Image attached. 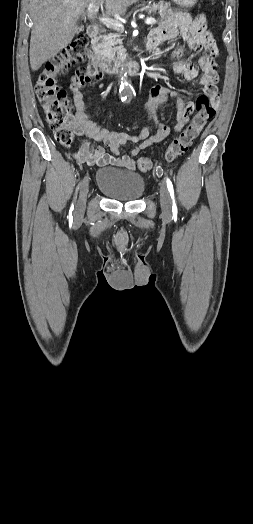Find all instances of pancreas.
Wrapping results in <instances>:
<instances>
[{
	"label": "pancreas",
	"mask_w": 253,
	"mask_h": 524,
	"mask_svg": "<svg viewBox=\"0 0 253 524\" xmlns=\"http://www.w3.org/2000/svg\"><path fill=\"white\" fill-rule=\"evenodd\" d=\"M143 10H146L148 14L158 12L164 19H169L174 15V11L172 10L170 4L164 1L154 2L143 8ZM119 37L120 32L108 34L101 42L93 45L94 51L103 59H113L115 56V51L122 48L121 45L116 47L118 43L120 44Z\"/></svg>",
	"instance_id": "1"
}]
</instances>
